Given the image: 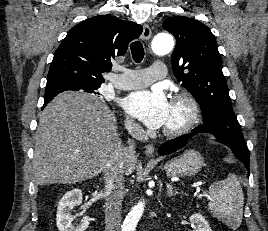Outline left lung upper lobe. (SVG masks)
<instances>
[{
  "instance_id": "obj_1",
  "label": "left lung upper lobe",
  "mask_w": 268,
  "mask_h": 231,
  "mask_svg": "<svg viewBox=\"0 0 268 231\" xmlns=\"http://www.w3.org/2000/svg\"><path fill=\"white\" fill-rule=\"evenodd\" d=\"M162 26L176 38L171 57L173 72L201 106L204 124L192 131L212 133L220 142L247 150L210 29L185 16L166 18Z\"/></svg>"
}]
</instances>
